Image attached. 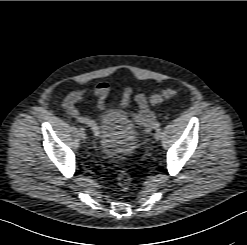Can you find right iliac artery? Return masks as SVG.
Masks as SVG:
<instances>
[{"mask_svg": "<svg viewBox=\"0 0 247 245\" xmlns=\"http://www.w3.org/2000/svg\"><path fill=\"white\" fill-rule=\"evenodd\" d=\"M77 122L90 126L93 131L94 136L98 134V127L92 119L88 117H80L78 118Z\"/></svg>", "mask_w": 247, "mask_h": 245, "instance_id": "82829eb1", "label": "right iliac artery"}]
</instances>
